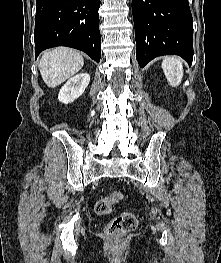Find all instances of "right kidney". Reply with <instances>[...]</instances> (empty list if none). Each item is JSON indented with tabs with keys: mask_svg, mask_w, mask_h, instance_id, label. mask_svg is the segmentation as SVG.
Wrapping results in <instances>:
<instances>
[{
	"mask_svg": "<svg viewBox=\"0 0 221 263\" xmlns=\"http://www.w3.org/2000/svg\"><path fill=\"white\" fill-rule=\"evenodd\" d=\"M89 81L88 73H80L70 78L60 89L58 100L64 104L72 103L84 93Z\"/></svg>",
	"mask_w": 221,
	"mask_h": 263,
	"instance_id": "obj_1",
	"label": "right kidney"
}]
</instances>
